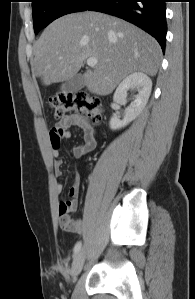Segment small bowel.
<instances>
[{
  "mask_svg": "<svg viewBox=\"0 0 195 299\" xmlns=\"http://www.w3.org/2000/svg\"><path fill=\"white\" fill-rule=\"evenodd\" d=\"M73 125L79 126L83 130V143L72 148L71 153L74 158H81L85 154L93 151L96 148L95 128L84 117L78 115H68L63 117L53 128L49 134V141L53 148L54 160V174L58 178L62 175V162L59 157V146L63 140L71 138L70 127ZM63 184L57 182L55 190L58 195L63 193ZM79 188L77 185L71 187L68 196L69 199L62 200L59 206V226L62 230L72 233H80L84 228V222L82 219L73 218L71 212L77 207V195ZM66 207L69 208V213L62 215L61 211Z\"/></svg>",
  "mask_w": 195,
  "mask_h": 299,
  "instance_id": "1",
  "label": "small bowel"
}]
</instances>
